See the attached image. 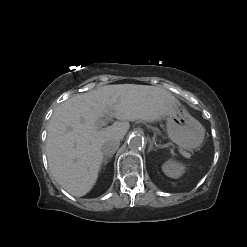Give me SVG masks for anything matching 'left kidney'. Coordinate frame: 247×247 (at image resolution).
Returning a JSON list of instances; mask_svg holds the SVG:
<instances>
[{
  "instance_id": "1",
  "label": "left kidney",
  "mask_w": 247,
  "mask_h": 247,
  "mask_svg": "<svg viewBox=\"0 0 247 247\" xmlns=\"http://www.w3.org/2000/svg\"><path fill=\"white\" fill-rule=\"evenodd\" d=\"M162 170L166 176L177 179L185 172V166L170 159L162 165Z\"/></svg>"
}]
</instances>
